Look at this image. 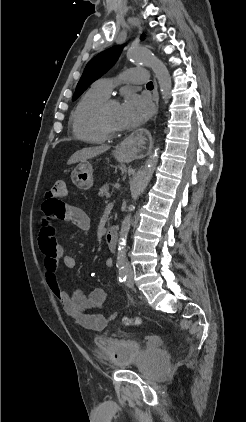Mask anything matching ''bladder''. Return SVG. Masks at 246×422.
Instances as JSON below:
<instances>
[{"label": "bladder", "instance_id": "bladder-1", "mask_svg": "<svg viewBox=\"0 0 246 422\" xmlns=\"http://www.w3.org/2000/svg\"><path fill=\"white\" fill-rule=\"evenodd\" d=\"M101 354L118 367L136 365L142 354V345L136 339L106 338L97 345ZM153 363L159 368H166L169 358L161 347H153L150 351Z\"/></svg>", "mask_w": 246, "mask_h": 422}]
</instances>
